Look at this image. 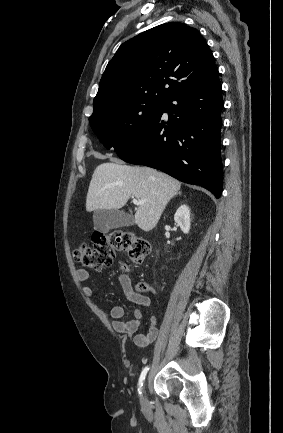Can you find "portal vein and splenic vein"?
I'll use <instances>...</instances> for the list:
<instances>
[{
	"mask_svg": "<svg viewBox=\"0 0 283 433\" xmlns=\"http://www.w3.org/2000/svg\"><path fill=\"white\" fill-rule=\"evenodd\" d=\"M134 204H144L145 200H137V198H133Z\"/></svg>",
	"mask_w": 283,
	"mask_h": 433,
	"instance_id": "obj_1",
	"label": "portal vein and splenic vein"
}]
</instances>
